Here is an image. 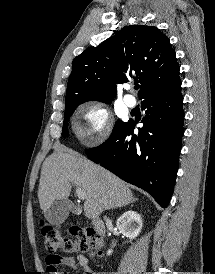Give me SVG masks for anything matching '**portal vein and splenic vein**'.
Wrapping results in <instances>:
<instances>
[{
  "label": "portal vein and splenic vein",
  "mask_w": 215,
  "mask_h": 274,
  "mask_svg": "<svg viewBox=\"0 0 215 274\" xmlns=\"http://www.w3.org/2000/svg\"><path fill=\"white\" fill-rule=\"evenodd\" d=\"M76 194H77V197L81 200H84L86 198V193L84 190H82L81 188L79 187H76Z\"/></svg>",
  "instance_id": "obj_1"
}]
</instances>
